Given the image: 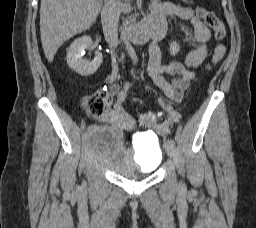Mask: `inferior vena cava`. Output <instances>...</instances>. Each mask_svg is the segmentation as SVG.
Listing matches in <instances>:
<instances>
[{"label":"inferior vena cava","mask_w":256,"mask_h":228,"mask_svg":"<svg viewBox=\"0 0 256 228\" xmlns=\"http://www.w3.org/2000/svg\"><path fill=\"white\" fill-rule=\"evenodd\" d=\"M119 0H106L101 13V22L106 41L113 47L118 45Z\"/></svg>","instance_id":"inferior-vena-cava-1"}]
</instances>
